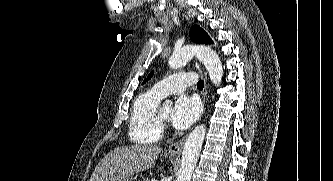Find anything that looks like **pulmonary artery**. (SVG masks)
I'll use <instances>...</instances> for the list:
<instances>
[{"label":"pulmonary artery","instance_id":"1","mask_svg":"<svg viewBox=\"0 0 333 181\" xmlns=\"http://www.w3.org/2000/svg\"><path fill=\"white\" fill-rule=\"evenodd\" d=\"M196 80L195 73L175 74L154 84L151 91L164 98L169 94L181 93L187 86L193 85Z\"/></svg>","mask_w":333,"mask_h":181}]
</instances>
